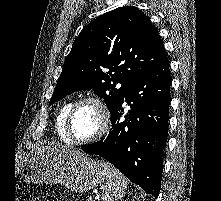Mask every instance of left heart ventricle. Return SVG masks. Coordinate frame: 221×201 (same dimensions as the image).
Returning a JSON list of instances; mask_svg holds the SVG:
<instances>
[{"mask_svg": "<svg viewBox=\"0 0 221 201\" xmlns=\"http://www.w3.org/2000/svg\"><path fill=\"white\" fill-rule=\"evenodd\" d=\"M101 116L94 104L82 105L75 113L72 120V134L76 139H88L100 130Z\"/></svg>", "mask_w": 221, "mask_h": 201, "instance_id": "1", "label": "left heart ventricle"}]
</instances>
